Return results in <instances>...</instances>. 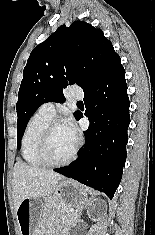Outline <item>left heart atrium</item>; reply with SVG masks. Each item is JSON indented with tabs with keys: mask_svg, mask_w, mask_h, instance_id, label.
Masks as SVG:
<instances>
[{
	"mask_svg": "<svg viewBox=\"0 0 155 235\" xmlns=\"http://www.w3.org/2000/svg\"><path fill=\"white\" fill-rule=\"evenodd\" d=\"M66 129L72 136V138L76 141L77 140V129L71 119H67L64 123Z\"/></svg>",
	"mask_w": 155,
	"mask_h": 235,
	"instance_id": "left-heart-atrium-1",
	"label": "left heart atrium"
}]
</instances>
